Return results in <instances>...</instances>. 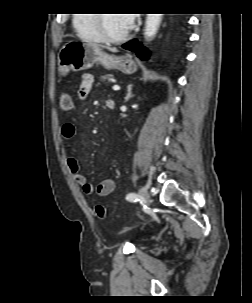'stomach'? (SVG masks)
Masks as SVG:
<instances>
[{"instance_id": "0dacf381", "label": "stomach", "mask_w": 252, "mask_h": 303, "mask_svg": "<svg viewBox=\"0 0 252 303\" xmlns=\"http://www.w3.org/2000/svg\"><path fill=\"white\" fill-rule=\"evenodd\" d=\"M95 63H100L107 69H118L125 74L137 71V64L131 57L112 56L103 52L97 45L83 41H68L58 54V70L61 76H65L70 70L91 68Z\"/></svg>"}]
</instances>
